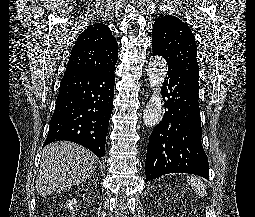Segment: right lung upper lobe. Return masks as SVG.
Segmentation results:
<instances>
[{"label":"right lung upper lobe","mask_w":255,"mask_h":217,"mask_svg":"<svg viewBox=\"0 0 255 217\" xmlns=\"http://www.w3.org/2000/svg\"><path fill=\"white\" fill-rule=\"evenodd\" d=\"M117 59L118 44L110 29L103 23H95L77 38L66 71H103L115 66Z\"/></svg>","instance_id":"right-lung-upper-lobe-1"}]
</instances>
